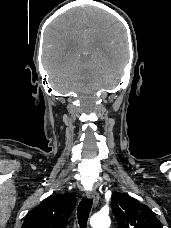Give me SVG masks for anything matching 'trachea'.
Wrapping results in <instances>:
<instances>
[{
	"label": "trachea",
	"mask_w": 171,
	"mask_h": 228,
	"mask_svg": "<svg viewBox=\"0 0 171 228\" xmlns=\"http://www.w3.org/2000/svg\"><path fill=\"white\" fill-rule=\"evenodd\" d=\"M92 208V199L83 198L77 208V219L81 228H86Z\"/></svg>",
	"instance_id": "1"
}]
</instances>
